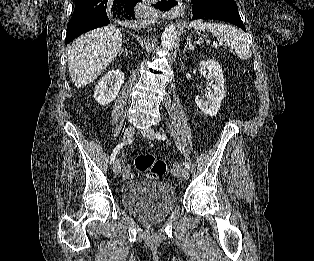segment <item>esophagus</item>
<instances>
[{
  "mask_svg": "<svg viewBox=\"0 0 314 261\" xmlns=\"http://www.w3.org/2000/svg\"><path fill=\"white\" fill-rule=\"evenodd\" d=\"M170 4V8L166 11H160V13L165 16V17H169L175 14H180L182 12V3L178 2L177 4ZM172 4V5H171Z\"/></svg>",
  "mask_w": 314,
  "mask_h": 261,
  "instance_id": "34e87169",
  "label": "esophagus"
}]
</instances>
